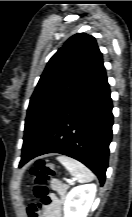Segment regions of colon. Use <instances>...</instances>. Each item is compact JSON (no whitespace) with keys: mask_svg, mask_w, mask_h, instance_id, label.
I'll return each instance as SVG.
<instances>
[{"mask_svg":"<svg viewBox=\"0 0 132 217\" xmlns=\"http://www.w3.org/2000/svg\"><path fill=\"white\" fill-rule=\"evenodd\" d=\"M56 172V165L45 160H39L31 167L30 177L33 193L41 200V203L32 204L29 207V217H38L40 208L52 202V196L48 190V182L56 175Z\"/></svg>","mask_w":132,"mask_h":217,"instance_id":"obj_1","label":"colon"}]
</instances>
